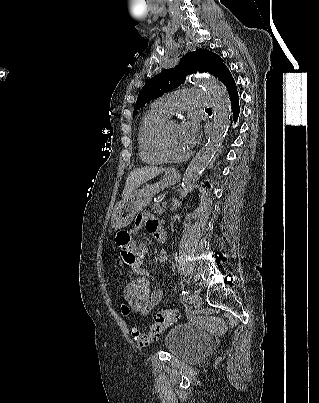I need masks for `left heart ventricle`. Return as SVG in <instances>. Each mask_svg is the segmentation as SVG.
I'll return each instance as SVG.
<instances>
[{
    "label": "left heart ventricle",
    "mask_w": 319,
    "mask_h": 403,
    "mask_svg": "<svg viewBox=\"0 0 319 403\" xmlns=\"http://www.w3.org/2000/svg\"><path fill=\"white\" fill-rule=\"evenodd\" d=\"M156 134L154 135L155 139ZM165 146L169 154L173 156L183 155L188 151L185 145L179 124L172 125L165 135Z\"/></svg>",
    "instance_id": "obj_1"
}]
</instances>
